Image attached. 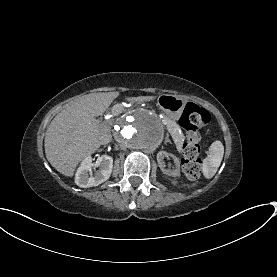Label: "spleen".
Returning a JSON list of instances; mask_svg holds the SVG:
<instances>
[{"label":"spleen","mask_w":277,"mask_h":277,"mask_svg":"<svg viewBox=\"0 0 277 277\" xmlns=\"http://www.w3.org/2000/svg\"><path fill=\"white\" fill-rule=\"evenodd\" d=\"M224 155V146L221 141H214L209 147V154L203 160V175L205 178H212L217 172Z\"/></svg>","instance_id":"spleen-1"}]
</instances>
